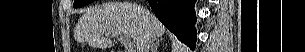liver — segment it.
Masks as SVG:
<instances>
[{"label": "liver", "instance_id": "obj_1", "mask_svg": "<svg viewBox=\"0 0 305 52\" xmlns=\"http://www.w3.org/2000/svg\"><path fill=\"white\" fill-rule=\"evenodd\" d=\"M165 27L149 11L131 3H106L84 13L76 26L79 36L99 48H110L112 38L123 35L137 45L146 34L162 37Z\"/></svg>", "mask_w": 305, "mask_h": 52}]
</instances>
